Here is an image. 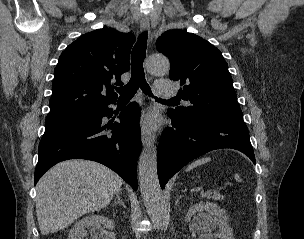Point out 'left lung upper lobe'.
Here are the masks:
<instances>
[{
	"label": "left lung upper lobe",
	"instance_id": "5c2ea615",
	"mask_svg": "<svg viewBox=\"0 0 304 239\" xmlns=\"http://www.w3.org/2000/svg\"><path fill=\"white\" fill-rule=\"evenodd\" d=\"M157 50L171 64L170 79L182 86L188 107L169 109L180 119L201 122L207 119L243 121L233 80L221 52L203 38L183 30H169L156 42Z\"/></svg>",
	"mask_w": 304,
	"mask_h": 239
}]
</instances>
